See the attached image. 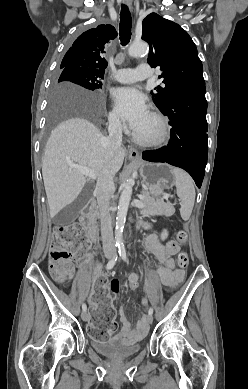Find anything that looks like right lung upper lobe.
I'll list each match as a JSON object with an SVG mask.
<instances>
[{"label": "right lung upper lobe", "instance_id": "obj_1", "mask_svg": "<svg viewBox=\"0 0 248 389\" xmlns=\"http://www.w3.org/2000/svg\"><path fill=\"white\" fill-rule=\"evenodd\" d=\"M116 37L115 28L108 24L84 32L67 51L61 66L82 68L104 76L107 67L104 49Z\"/></svg>", "mask_w": 248, "mask_h": 389}]
</instances>
